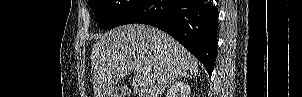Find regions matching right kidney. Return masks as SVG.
Returning <instances> with one entry per match:
<instances>
[{"instance_id": "obj_1", "label": "right kidney", "mask_w": 302, "mask_h": 97, "mask_svg": "<svg viewBox=\"0 0 302 97\" xmlns=\"http://www.w3.org/2000/svg\"><path fill=\"white\" fill-rule=\"evenodd\" d=\"M169 97H189L190 96V86L184 81L176 82L168 93Z\"/></svg>"}]
</instances>
